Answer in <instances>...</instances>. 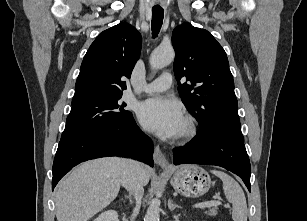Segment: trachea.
I'll return each mask as SVG.
<instances>
[{"label": "trachea", "mask_w": 307, "mask_h": 221, "mask_svg": "<svg viewBox=\"0 0 307 221\" xmlns=\"http://www.w3.org/2000/svg\"><path fill=\"white\" fill-rule=\"evenodd\" d=\"M163 16H164V10L161 8H153L152 9V22H151V28H152V35L153 37H157L162 23H163Z\"/></svg>", "instance_id": "3493384b"}]
</instances>
